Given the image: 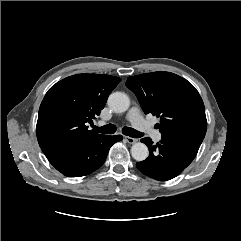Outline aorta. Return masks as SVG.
Wrapping results in <instances>:
<instances>
[{
	"label": "aorta",
	"instance_id": "762f6f07",
	"mask_svg": "<svg viewBox=\"0 0 241 241\" xmlns=\"http://www.w3.org/2000/svg\"><path fill=\"white\" fill-rule=\"evenodd\" d=\"M108 106L114 112L122 113L128 110L130 99L125 93L115 92L109 96ZM148 154V147L144 143L137 142L131 147V155L136 161L145 160L148 157Z\"/></svg>",
	"mask_w": 241,
	"mask_h": 241
}]
</instances>
